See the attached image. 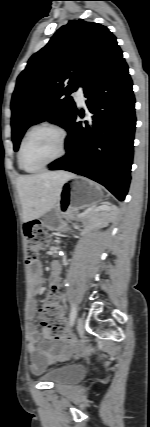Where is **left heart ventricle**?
Instances as JSON below:
<instances>
[{
	"instance_id": "b2bd125f",
	"label": "left heart ventricle",
	"mask_w": 150,
	"mask_h": 427,
	"mask_svg": "<svg viewBox=\"0 0 150 427\" xmlns=\"http://www.w3.org/2000/svg\"><path fill=\"white\" fill-rule=\"evenodd\" d=\"M58 135L49 130L34 133L27 141L23 152V164L34 170L53 159L59 152Z\"/></svg>"
}]
</instances>
